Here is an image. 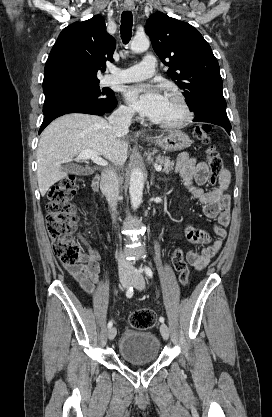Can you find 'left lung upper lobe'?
Segmentation results:
<instances>
[{
	"mask_svg": "<svg viewBox=\"0 0 272 417\" xmlns=\"http://www.w3.org/2000/svg\"><path fill=\"white\" fill-rule=\"evenodd\" d=\"M145 32L156 54L169 66L168 76L185 91L194 114L230 124L218 61L200 32L161 12L150 16Z\"/></svg>",
	"mask_w": 272,
	"mask_h": 417,
	"instance_id": "5c2ea615",
	"label": "left lung upper lobe"
}]
</instances>
